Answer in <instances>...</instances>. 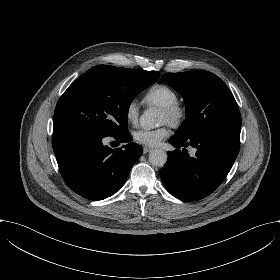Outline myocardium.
<instances>
[{
    "label": "myocardium",
    "mask_w": 280,
    "mask_h": 280,
    "mask_svg": "<svg viewBox=\"0 0 280 280\" xmlns=\"http://www.w3.org/2000/svg\"><path fill=\"white\" fill-rule=\"evenodd\" d=\"M161 108L168 115V122L173 126H179L187 117V108L179 101Z\"/></svg>",
    "instance_id": "obj_1"
}]
</instances>
